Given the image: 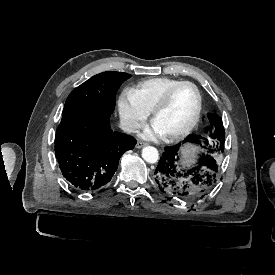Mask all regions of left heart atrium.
<instances>
[{"label":"left heart atrium","instance_id":"left-heart-atrium-1","mask_svg":"<svg viewBox=\"0 0 275 275\" xmlns=\"http://www.w3.org/2000/svg\"><path fill=\"white\" fill-rule=\"evenodd\" d=\"M164 136L165 134L154 123L144 132V137L148 139H158Z\"/></svg>","mask_w":275,"mask_h":275}]
</instances>
